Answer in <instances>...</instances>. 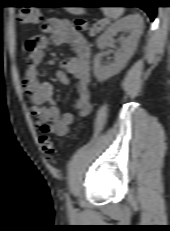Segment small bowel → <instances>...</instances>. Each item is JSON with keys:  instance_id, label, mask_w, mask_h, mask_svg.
Here are the masks:
<instances>
[{"instance_id": "small-bowel-1", "label": "small bowel", "mask_w": 170, "mask_h": 231, "mask_svg": "<svg viewBox=\"0 0 170 231\" xmlns=\"http://www.w3.org/2000/svg\"><path fill=\"white\" fill-rule=\"evenodd\" d=\"M43 29L51 35V40L55 45L68 44L74 52L72 58L63 62V70L57 72V78L63 84L69 83L68 76L78 80V99L75 108L79 116L86 117L92 110L93 88L89 44L68 20L50 18L44 23ZM29 39L35 41L36 47L29 54L23 86L31 98V113L34 116V125L43 133L65 136L74 121V115L70 112L60 113L53 98L52 84L40 79L38 72L49 43L48 39L44 36H34L27 40Z\"/></svg>"}]
</instances>
